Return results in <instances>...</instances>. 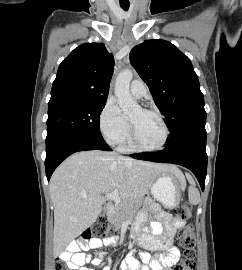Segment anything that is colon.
Returning <instances> with one entry per match:
<instances>
[{"label": "colon", "mask_w": 242, "mask_h": 270, "mask_svg": "<svg viewBox=\"0 0 242 270\" xmlns=\"http://www.w3.org/2000/svg\"><path fill=\"white\" fill-rule=\"evenodd\" d=\"M191 215V208L184 203L175 210V216L179 219H187ZM113 227L106 218H101L95 222L84 234L83 239H106L111 236ZM179 243L183 250V260L174 270H195L196 268V237L191 227L181 230L178 235ZM66 265L61 258L56 260L55 270H66Z\"/></svg>", "instance_id": "1"}]
</instances>
